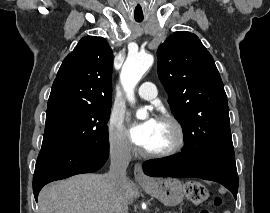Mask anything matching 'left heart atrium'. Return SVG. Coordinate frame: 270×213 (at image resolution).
Returning <instances> with one entry per match:
<instances>
[{"mask_svg": "<svg viewBox=\"0 0 270 213\" xmlns=\"http://www.w3.org/2000/svg\"><path fill=\"white\" fill-rule=\"evenodd\" d=\"M156 121L157 120L154 117H149L144 122L131 126L129 130V138L132 143L138 147L144 148L149 141Z\"/></svg>", "mask_w": 270, "mask_h": 213, "instance_id": "1", "label": "left heart atrium"}]
</instances>
